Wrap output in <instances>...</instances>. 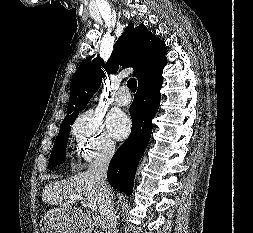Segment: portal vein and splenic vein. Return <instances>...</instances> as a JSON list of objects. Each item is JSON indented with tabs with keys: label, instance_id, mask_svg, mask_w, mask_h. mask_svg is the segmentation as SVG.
Here are the masks:
<instances>
[{
	"label": "portal vein and splenic vein",
	"instance_id": "obj_1",
	"mask_svg": "<svg viewBox=\"0 0 253 233\" xmlns=\"http://www.w3.org/2000/svg\"><path fill=\"white\" fill-rule=\"evenodd\" d=\"M65 199L72 200V201H74V200L83 201L84 200V198L81 195H70V196H66ZM89 208H90V210L95 211L97 209V205L94 203H90Z\"/></svg>",
	"mask_w": 253,
	"mask_h": 233
}]
</instances>
